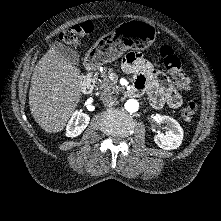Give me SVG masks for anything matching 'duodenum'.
I'll return each mask as SVG.
<instances>
[{"mask_svg": "<svg viewBox=\"0 0 221 221\" xmlns=\"http://www.w3.org/2000/svg\"><path fill=\"white\" fill-rule=\"evenodd\" d=\"M93 71H94L93 66L89 64L86 73L82 74L79 78L81 88L86 93L90 92V90L93 87V79H92ZM129 93L135 96L137 95V89L134 86H131V88L129 89Z\"/></svg>", "mask_w": 221, "mask_h": 221, "instance_id": "410a0bca", "label": "duodenum"}]
</instances>
